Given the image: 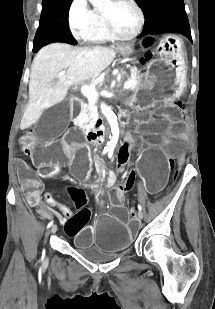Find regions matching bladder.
Segmentation results:
<instances>
[{
  "mask_svg": "<svg viewBox=\"0 0 215 309\" xmlns=\"http://www.w3.org/2000/svg\"><path fill=\"white\" fill-rule=\"evenodd\" d=\"M85 257L94 262H108L114 260L117 255H85Z\"/></svg>",
  "mask_w": 215,
  "mask_h": 309,
  "instance_id": "1",
  "label": "bladder"
}]
</instances>
